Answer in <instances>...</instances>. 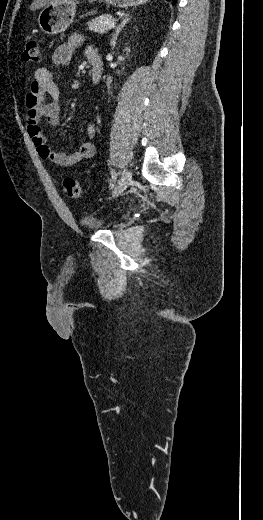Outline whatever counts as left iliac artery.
<instances>
[{
    "label": "left iliac artery",
    "mask_w": 263,
    "mask_h": 520,
    "mask_svg": "<svg viewBox=\"0 0 263 520\" xmlns=\"http://www.w3.org/2000/svg\"><path fill=\"white\" fill-rule=\"evenodd\" d=\"M111 176H112L113 181H115L117 178V173H116L115 169H111Z\"/></svg>",
    "instance_id": "left-iliac-artery-1"
}]
</instances>
